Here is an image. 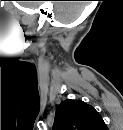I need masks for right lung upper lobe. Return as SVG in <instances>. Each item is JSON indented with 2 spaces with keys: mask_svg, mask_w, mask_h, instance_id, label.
Instances as JSON below:
<instances>
[{
  "mask_svg": "<svg viewBox=\"0 0 123 130\" xmlns=\"http://www.w3.org/2000/svg\"><path fill=\"white\" fill-rule=\"evenodd\" d=\"M56 125L74 127L75 130H96L104 126L98 112L80 100L67 99L57 109Z\"/></svg>",
  "mask_w": 123,
  "mask_h": 130,
  "instance_id": "1",
  "label": "right lung upper lobe"
}]
</instances>
